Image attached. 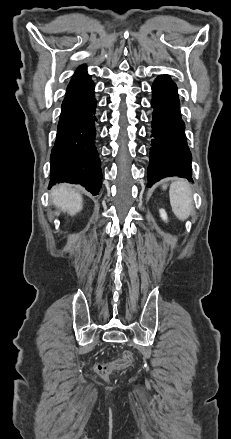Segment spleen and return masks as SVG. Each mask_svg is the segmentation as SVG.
Segmentation results:
<instances>
[{
	"mask_svg": "<svg viewBox=\"0 0 231 439\" xmlns=\"http://www.w3.org/2000/svg\"><path fill=\"white\" fill-rule=\"evenodd\" d=\"M165 189L166 186H163ZM170 204L176 217L185 220L189 217L193 204L190 186L185 180H176L170 185Z\"/></svg>",
	"mask_w": 231,
	"mask_h": 439,
	"instance_id": "1",
	"label": "spleen"
}]
</instances>
